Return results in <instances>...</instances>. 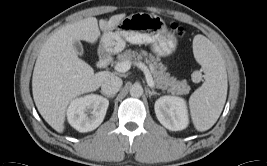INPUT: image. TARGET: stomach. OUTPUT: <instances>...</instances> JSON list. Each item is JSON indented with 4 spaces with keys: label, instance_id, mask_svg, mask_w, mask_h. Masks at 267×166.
Returning a JSON list of instances; mask_svg holds the SVG:
<instances>
[{
    "label": "stomach",
    "instance_id": "obj_1",
    "mask_svg": "<svg viewBox=\"0 0 267 166\" xmlns=\"http://www.w3.org/2000/svg\"><path fill=\"white\" fill-rule=\"evenodd\" d=\"M126 41L132 44H149L158 56L172 54L177 45L176 37L168 31L164 20L155 14L138 12L125 17L110 31H104L100 48L118 53Z\"/></svg>",
    "mask_w": 267,
    "mask_h": 166
}]
</instances>
